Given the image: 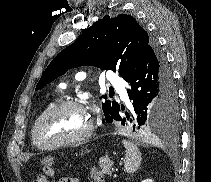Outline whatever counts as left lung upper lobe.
<instances>
[{
  "label": "left lung upper lobe",
  "mask_w": 211,
  "mask_h": 182,
  "mask_svg": "<svg viewBox=\"0 0 211 182\" xmlns=\"http://www.w3.org/2000/svg\"><path fill=\"white\" fill-rule=\"evenodd\" d=\"M151 42L152 39L147 32L132 16L126 14L115 18L105 16L84 30L74 43L51 61L41 76L36 90L65 74L68 69L83 65L118 71L126 81L137 68ZM102 98L107 99V96L103 95ZM102 108L106 122L117 120L120 110L117 102L105 100ZM175 127L176 124L169 125L167 129ZM162 131L163 129L156 128L153 132L156 134Z\"/></svg>",
  "instance_id": "5c2ea615"
}]
</instances>
